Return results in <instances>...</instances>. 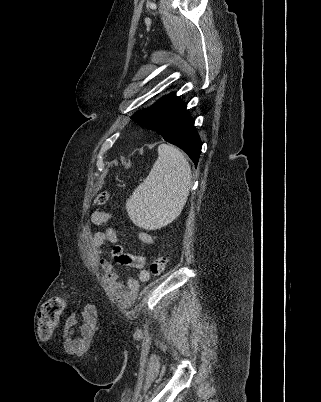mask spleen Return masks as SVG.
<instances>
[{
    "instance_id": "1",
    "label": "spleen",
    "mask_w": 321,
    "mask_h": 402,
    "mask_svg": "<svg viewBox=\"0 0 321 402\" xmlns=\"http://www.w3.org/2000/svg\"><path fill=\"white\" fill-rule=\"evenodd\" d=\"M190 186L191 167L184 154L161 144L149 175L126 201L128 216L140 228H161L180 214Z\"/></svg>"
}]
</instances>
